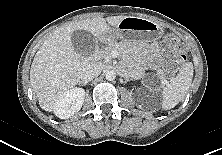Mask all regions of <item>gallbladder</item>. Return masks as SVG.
<instances>
[{"label":"gallbladder","instance_id":"1","mask_svg":"<svg viewBox=\"0 0 222 155\" xmlns=\"http://www.w3.org/2000/svg\"><path fill=\"white\" fill-rule=\"evenodd\" d=\"M71 41L74 49L81 55L88 57L92 55L95 49L94 36L85 30L74 31L71 35Z\"/></svg>","mask_w":222,"mask_h":155}]
</instances>
